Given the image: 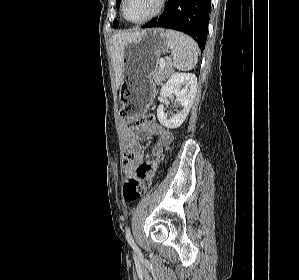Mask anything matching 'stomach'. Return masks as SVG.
Segmentation results:
<instances>
[{
	"instance_id": "0dacf381",
	"label": "stomach",
	"mask_w": 299,
	"mask_h": 280,
	"mask_svg": "<svg viewBox=\"0 0 299 280\" xmlns=\"http://www.w3.org/2000/svg\"><path fill=\"white\" fill-rule=\"evenodd\" d=\"M168 49V39L161 28L141 31L136 39L125 46L119 89L124 118L141 116L148 109L155 90L151 76L160 55Z\"/></svg>"
}]
</instances>
